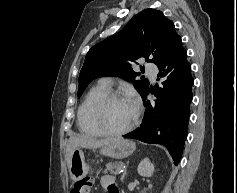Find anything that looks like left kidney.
Returning <instances> with one entry per match:
<instances>
[{
    "mask_svg": "<svg viewBox=\"0 0 237 193\" xmlns=\"http://www.w3.org/2000/svg\"><path fill=\"white\" fill-rule=\"evenodd\" d=\"M137 171L140 176L151 177L154 172V165L148 158H145L139 163Z\"/></svg>",
    "mask_w": 237,
    "mask_h": 193,
    "instance_id": "1",
    "label": "left kidney"
}]
</instances>
